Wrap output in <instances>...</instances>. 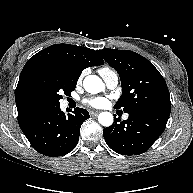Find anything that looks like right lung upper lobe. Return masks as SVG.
Segmentation results:
<instances>
[{"mask_svg":"<svg viewBox=\"0 0 193 193\" xmlns=\"http://www.w3.org/2000/svg\"><path fill=\"white\" fill-rule=\"evenodd\" d=\"M103 64V59L95 50L69 44H54L32 56L21 71L16 88L15 99L20 128L53 108L37 104L28 97L26 87L33 73L42 69H55L79 78L85 68Z\"/></svg>","mask_w":193,"mask_h":193,"instance_id":"obj_1","label":"right lung upper lobe"}]
</instances>
